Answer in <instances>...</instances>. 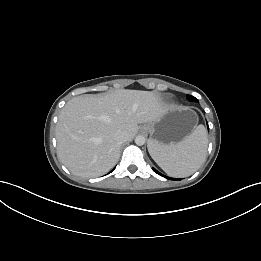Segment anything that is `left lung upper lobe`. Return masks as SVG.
<instances>
[{
    "label": "left lung upper lobe",
    "mask_w": 261,
    "mask_h": 261,
    "mask_svg": "<svg viewBox=\"0 0 261 261\" xmlns=\"http://www.w3.org/2000/svg\"><path fill=\"white\" fill-rule=\"evenodd\" d=\"M187 99H188L189 101L198 102V100H197L194 96H191V95H187Z\"/></svg>",
    "instance_id": "obj_1"
}]
</instances>
